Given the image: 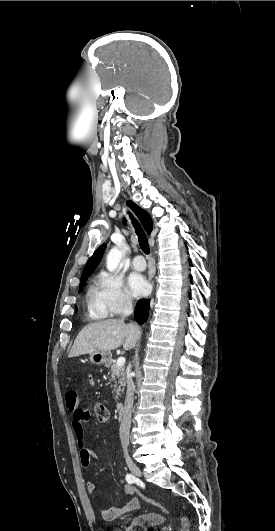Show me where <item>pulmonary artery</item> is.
<instances>
[{"label":"pulmonary artery","instance_id":"e3ab8cb5","mask_svg":"<svg viewBox=\"0 0 275 531\" xmlns=\"http://www.w3.org/2000/svg\"><path fill=\"white\" fill-rule=\"evenodd\" d=\"M132 267L135 270L142 271L146 268V262L142 255H137L132 260Z\"/></svg>","mask_w":275,"mask_h":531}]
</instances>
